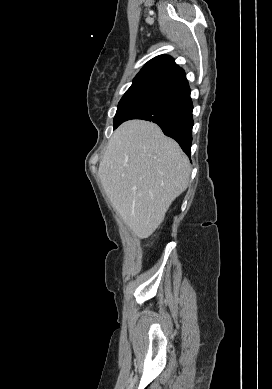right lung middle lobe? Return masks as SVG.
Returning a JSON list of instances; mask_svg holds the SVG:
<instances>
[{
    "mask_svg": "<svg viewBox=\"0 0 272 389\" xmlns=\"http://www.w3.org/2000/svg\"><path fill=\"white\" fill-rule=\"evenodd\" d=\"M162 87L153 83L132 84L118 104L117 112L113 120L114 129L120 125L122 119L133 107Z\"/></svg>",
    "mask_w": 272,
    "mask_h": 389,
    "instance_id": "1",
    "label": "right lung middle lobe"
}]
</instances>
